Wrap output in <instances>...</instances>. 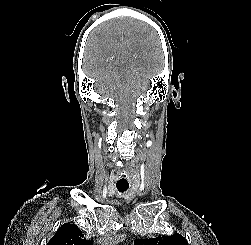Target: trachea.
<instances>
[{"label":"trachea","mask_w":251,"mask_h":245,"mask_svg":"<svg viewBox=\"0 0 251 245\" xmlns=\"http://www.w3.org/2000/svg\"><path fill=\"white\" fill-rule=\"evenodd\" d=\"M116 187L119 192L123 193L129 188V184L127 182H117Z\"/></svg>","instance_id":"1"}]
</instances>
